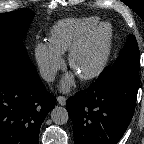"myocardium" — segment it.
<instances>
[{"label":"myocardium","instance_id":"1","mask_svg":"<svg viewBox=\"0 0 144 144\" xmlns=\"http://www.w3.org/2000/svg\"><path fill=\"white\" fill-rule=\"evenodd\" d=\"M104 34V50L98 63L89 71L83 73H77L75 70V59L83 48L89 43V41L97 34ZM113 49V30L110 24L100 23L92 29L88 30L69 49L68 53V65L83 81H89L101 75L107 66L109 58Z\"/></svg>","mask_w":144,"mask_h":144}]
</instances>
